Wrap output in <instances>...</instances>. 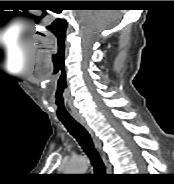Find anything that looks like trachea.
Wrapping results in <instances>:
<instances>
[{"label": "trachea", "instance_id": "3493384b", "mask_svg": "<svg viewBox=\"0 0 174 184\" xmlns=\"http://www.w3.org/2000/svg\"><path fill=\"white\" fill-rule=\"evenodd\" d=\"M68 132L78 141L84 152L88 155L97 174L105 173V166L94 148L93 141L88 131L73 118H61Z\"/></svg>", "mask_w": 174, "mask_h": 184}]
</instances>
